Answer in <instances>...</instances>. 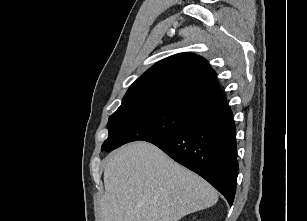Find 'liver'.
<instances>
[{
  "label": "liver",
  "instance_id": "1",
  "mask_svg": "<svg viewBox=\"0 0 307 221\" xmlns=\"http://www.w3.org/2000/svg\"><path fill=\"white\" fill-rule=\"evenodd\" d=\"M104 185L101 221H178L218 200L203 178L143 141L106 157Z\"/></svg>",
  "mask_w": 307,
  "mask_h": 221
}]
</instances>
